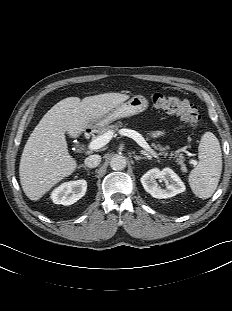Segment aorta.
<instances>
[{"label":"aorta","instance_id":"aorta-1","mask_svg":"<svg viewBox=\"0 0 232 311\" xmlns=\"http://www.w3.org/2000/svg\"><path fill=\"white\" fill-rule=\"evenodd\" d=\"M127 161L123 155H114L110 160V167L113 170H123L126 167Z\"/></svg>","mask_w":232,"mask_h":311}]
</instances>
